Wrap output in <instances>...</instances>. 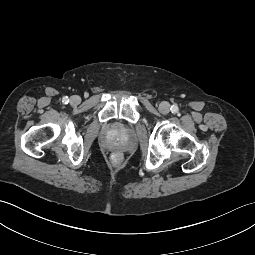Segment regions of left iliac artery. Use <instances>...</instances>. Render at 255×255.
<instances>
[{
  "label": "left iliac artery",
  "instance_id": "obj_1",
  "mask_svg": "<svg viewBox=\"0 0 255 255\" xmlns=\"http://www.w3.org/2000/svg\"><path fill=\"white\" fill-rule=\"evenodd\" d=\"M170 110H171L172 113H177L179 108H178L177 105L174 104V105L171 106Z\"/></svg>",
  "mask_w": 255,
  "mask_h": 255
}]
</instances>
